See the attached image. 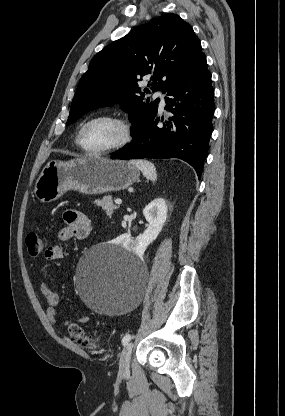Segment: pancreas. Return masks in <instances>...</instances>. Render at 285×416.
Listing matches in <instances>:
<instances>
[{"label":"pancreas","mask_w":285,"mask_h":416,"mask_svg":"<svg viewBox=\"0 0 285 416\" xmlns=\"http://www.w3.org/2000/svg\"><path fill=\"white\" fill-rule=\"evenodd\" d=\"M94 204H96V206H101L102 210H104L108 216H111L114 210H118L119 208V206H114L112 196H104L102 200H95Z\"/></svg>","instance_id":"1"}]
</instances>
